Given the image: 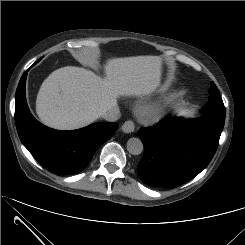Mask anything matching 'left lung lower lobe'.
<instances>
[{"label":"left lung lower lobe","mask_w":245,"mask_h":245,"mask_svg":"<svg viewBox=\"0 0 245 245\" xmlns=\"http://www.w3.org/2000/svg\"><path fill=\"white\" fill-rule=\"evenodd\" d=\"M224 119L202 114L186 121L166 117L139 130L144 155L137 166L140 178L154 187L176 188L198 175L213 158Z\"/></svg>","instance_id":"obj_1"}]
</instances>
